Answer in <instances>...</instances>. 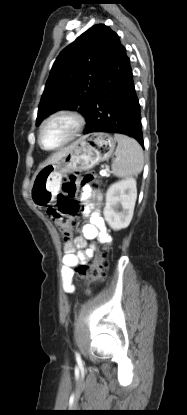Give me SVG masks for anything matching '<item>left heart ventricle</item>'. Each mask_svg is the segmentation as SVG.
<instances>
[{
  "label": "left heart ventricle",
  "mask_w": 187,
  "mask_h": 415,
  "mask_svg": "<svg viewBox=\"0 0 187 415\" xmlns=\"http://www.w3.org/2000/svg\"><path fill=\"white\" fill-rule=\"evenodd\" d=\"M73 122L64 117L50 121L44 128L42 140L45 146L54 147L68 138L73 130Z\"/></svg>",
  "instance_id": "left-heart-ventricle-1"
}]
</instances>
